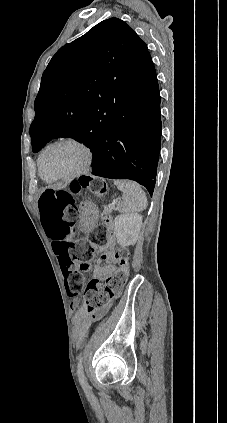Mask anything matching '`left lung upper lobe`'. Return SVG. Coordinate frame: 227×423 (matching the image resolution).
<instances>
[{
  "instance_id": "left-lung-upper-lobe-1",
  "label": "left lung upper lobe",
  "mask_w": 227,
  "mask_h": 423,
  "mask_svg": "<svg viewBox=\"0 0 227 423\" xmlns=\"http://www.w3.org/2000/svg\"><path fill=\"white\" fill-rule=\"evenodd\" d=\"M156 75L145 42L122 20L102 21L61 47L45 69L30 126L32 151L94 134L106 112H136Z\"/></svg>"
}]
</instances>
